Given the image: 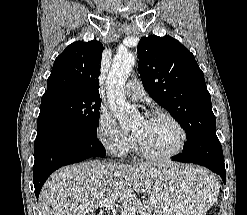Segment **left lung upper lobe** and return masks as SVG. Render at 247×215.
<instances>
[{"label": "left lung upper lobe", "mask_w": 247, "mask_h": 215, "mask_svg": "<svg viewBox=\"0 0 247 215\" xmlns=\"http://www.w3.org/2000/svg\"><path fill=\"white\" fill-rule=\"evenodd\" d=\"M137 53L145 89L186 132L183 151H194L197 139L217 137L211 96L193 54L170 36L142 38Z\"/></svg>", "instance_id": "obj_1"}]
</instances>
